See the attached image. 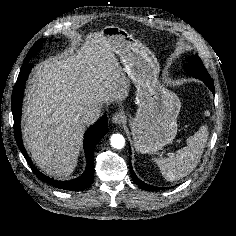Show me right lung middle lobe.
<instances>
[{
	"label": "right lung middle lobe",
	"instance_id": "1",
	"mask_svg": "<svg viewBox=\"0 0 236 236\" xmlns=\"http://www.w3.org/2000/svg\"><path fill=\"white\" fill-rule=\"evenodd\" d=\"M44 41L45 39H39L38 41L35 42V44L29 50L26 58L24 59L23 64H26L29 62L30 58L37 53V51L39 50V48L41 47Z\"/></svg>",
	"mask_w": 236,
	"mask_h": 236
}]
</instances>
